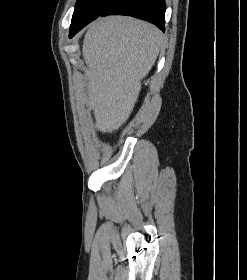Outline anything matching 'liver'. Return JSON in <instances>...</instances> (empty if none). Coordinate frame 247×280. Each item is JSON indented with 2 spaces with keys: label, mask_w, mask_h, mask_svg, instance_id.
I'll return each mask as SVG.
<instances>
[{
  "label": "liver",
  "mask_w": 247,
  "mask_h": 280,
  "mask_svg": "<svg viewBox=\"0 0 247 280\" xmlns=\"http://www.w3.org/2000/svg\"><path fill=\"white\" fill-rule=\"evenodd\" d=\"M164 44L151 23L126 16L99 18L88 27L83 58L88 66V106L99 131L112 133L129 118L141 83Z\"/></svg>",
  "instance_id": "6515ba94"
}]
</instances>
